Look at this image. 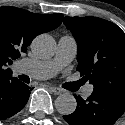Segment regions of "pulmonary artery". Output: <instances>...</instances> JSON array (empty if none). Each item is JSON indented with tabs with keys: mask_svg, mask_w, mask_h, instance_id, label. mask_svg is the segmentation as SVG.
I'll return each mask as SVG.
<instances>
[{
	"mask_svg": "<svg viewBox=\"0 0 125 125\" xmlns=\"http://www.w3.org/2000/svg\"><path fill=\"white\" fill-rule=\"evenodd\" d=\"M77 52V42L72 36H62L58 40L55 56L48 60L22 59L19 65H26L31 68L29 75L35 79L43 80L55 75L61 68L69 64ZM93 86L88 85L84 94L91 95Z\"/></svg>",
	"mask_w": 125,
	"mask_h": 125,
	"instance_id": "pulmonary-artery-1",
	"label": "pulmonary artery"
}]
</instances>
